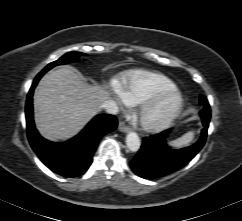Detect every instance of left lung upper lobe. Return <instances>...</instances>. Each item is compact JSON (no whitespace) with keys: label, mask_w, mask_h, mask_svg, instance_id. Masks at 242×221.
<instances>
[{"label":"left lung upper lobe","mask_w":242,"mask_h":221,"mask_svg":"<svg viewBox=\"0 0 242 221\" xmlns=\"http://www.w3.org/2000/svg\"><path fill=\"white\" fill-rule=\"evenodd\" d=\"M200 103L204 105V108H203V110H204L206 108L205 105H206L207 101L204 100L202 97H200ZM203 110L200 111V115L203 113Z\"/></svg>","instance_id":"obj_1"}]
</instances>
